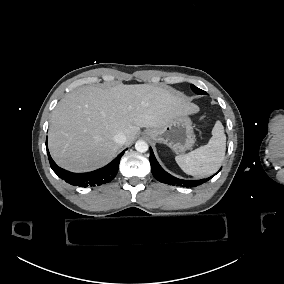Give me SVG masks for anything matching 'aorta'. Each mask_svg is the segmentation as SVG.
<instances>
[{
	"label": "aorta",
	"mask_w": 284,
	"mask_h": 284,
	"mask_svg": "<svg viewBox=\"0 0 284 284\" xmlns=\"http://www.w3.org/2000/svg\"><path fill=\"white\" fill-rule=\"evenodd\" d=\"M135 149L138 152L144 153L148 150V144L143 140H138L135 144Z\"/></svg>",
	"instance_id": "762f6f07"
}]
</instances>
